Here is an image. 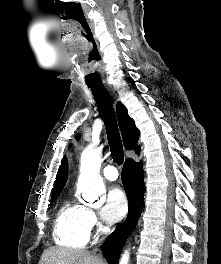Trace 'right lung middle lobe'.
Wrapping results in <instances>:
<instances>
[{
    "label": "right lung middle lobe",
    "mask_w": 221,
    "mask_h": 264,
    "mask_svg": "<svg viewBox=\"0 0 221 264\" xmlns=\"http://www.w3.org/2000/svg\"><path fill=\"white\" fill-rule=\"evenodd\" d=\"M55 199H56V197H53V198H52V200H55Z\"/></svg>",
    "instance_id": "dd1d6c3e"
}]
</instances>
